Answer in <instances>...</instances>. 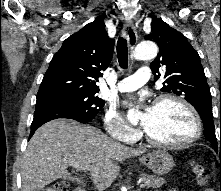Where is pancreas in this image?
Listing matches in <instances>:
<instances>
[{"mask_svg":"<svg viewBox=\"0 0 221 191\" xmlns=\"http://www.w3.org/2000/svg\"><path fill=\"white\" fill-rule=\"evenodd\" d=\"M140 179L143 182L144 186L147 188H159L166 182L161 177H156L148 174L140 175Z\"/></svg>","mask_w":221,"mask_h":191,"instance_id":"cf45deb5","label":"pancreas"}]
</instances>
